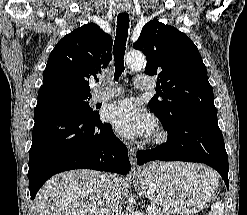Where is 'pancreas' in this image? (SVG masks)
<instances>
[{"label":"pancreas","mask_w":247,"mask_h":215,"mask_svg":"<svg viewBox=\"0 0 247 215\" xmlns=\"http://www.w3.org/2000/svg\"><path fill=\"white\" fill-rule=\"evenodd\" d=\"M155 215H170V213H168L167 211H164V210H162V211H156V214Z\"/></svg>","instance_id":"pancreas-1"}]
</instances>
